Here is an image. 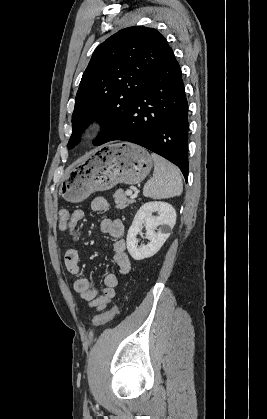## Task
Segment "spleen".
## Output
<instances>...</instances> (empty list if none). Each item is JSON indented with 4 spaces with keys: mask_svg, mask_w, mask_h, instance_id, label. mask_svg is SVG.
<instances>
[{
    "mask_svg": "<svg viewBox=\"0 0 267 419\" xmlns=\"http://www.w3.org/2000/svg\"><path fill=\"white\" fill-rule=\"evenodd\" d=\"M151 157L154 161L153 178L144 185L143 195L151 199L180 196L183 184L179 170L155 153Z\"/></svg>",
    "mask_w": 267,
    "mask_h": 419,
    "instance_id": "1",
    "label": "spleen"
}]
</instances>
